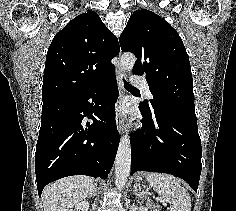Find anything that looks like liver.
I'll return each instance as SVG.
<instances>
[{
	"label": "liver",
	"mask_w": 236,
	"mask_h": 211,
	"mask_svg": "<svg viewBox=\"0 0 236 211\" xmlns=\"http://www.w3.org/2000/svg\"><path fill=\"white\" fill-rule=\"evenodd\" d=\"M94 190L89 176H70L47 185L42 192L44 211H70Z\"/></svg>",
	"instance_id": "1"
}]
</instances>
